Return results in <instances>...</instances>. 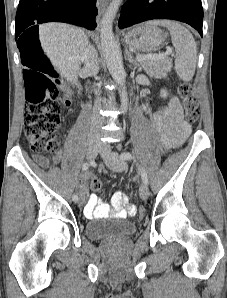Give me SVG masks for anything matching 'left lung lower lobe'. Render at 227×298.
<instances>
[{
    "instance_id": "1",
    "label": "left lung lower lobe",
    "mask_w": 227,
    "mask_h": 298,
    "mask_svg": "<svg viewBox=\"0 0 227 298\" xmlns=\"http://www.w3.org/2000/svg\"><path fill=\"white\" fill-rule=\"evenodd\" d=\"M152 19H172L194 27L202 36L201 0H128L122 7L118 26L126 28Z\"/></svg>"
}]
</instances>
